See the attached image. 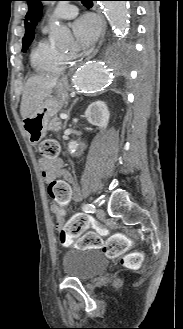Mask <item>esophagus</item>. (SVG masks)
I'll use <instances>...</instances> for the list:
<instances>
[{
    "label": "esophagus",
    "mask_w": 183,
    "mask_h": 329,
    "mask_svg": "<svg viewBox=\"0 0 183 329\" xmlns=\"http://www.w3.org/2000/svg\"><path fill=\"white\" fill-rule=\"evenodd\" d=\"M94 8H95L96 12L98 13V15H99V17H100V20H101V26H102V32H101V37H100V40H99V42H98V45H97L96 49H95L92 53H90V54L85 58V60H88V59L94 57V56L97 54L99 48L101 47V45H102L103 42H104L105 33H106V29H107V24H106L105 18H104L103 14H102V11H101L100 7H98L97 4H95V5H94ZM64 79H66V77H64L63 80H64Z\"/></svg>",
    "instance_id": "esophagus-1"
}]
</instances>
